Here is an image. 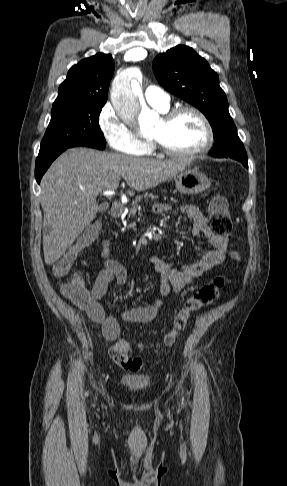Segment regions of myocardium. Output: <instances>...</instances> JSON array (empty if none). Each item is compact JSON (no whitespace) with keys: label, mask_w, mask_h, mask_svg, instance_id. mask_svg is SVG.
<instances>
[{"label":"myocardium","mask_w":287,"mask_h":486,"mask_svg":"<svg viewBox=\"0 0 287 486\" xmlns=\"http://www.w3.org/2000/svg\"><path fill=\"white\" fill-rule=\"evenodd\" d=\"M184 113H192L196 115L200 121L202 122L204 129H205V142L200 147L189 150V151H178L170 148L167 146L161 139L159 138H151V144L158 149L161 153L170 156V157H177V158H187V157H194L200 154H203L211 149L214 144V131L212 125L207 118V116L198 108L191 106V105H183L179 107L172 108L167 110L163 116L162 120L165 125H169L172 123L178 116Z\"/></svg>","instance_id":"f54148a6"}]
</instances>
